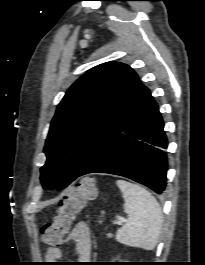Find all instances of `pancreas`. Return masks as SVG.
Segmentation results:
<instances>
[{"mask_svg":"<svg viewBox=\"0 0 205 265\" xmlns=\"http://www.w3.org/2000/svg\"><path fill=\"white\" fill-rule=\"evenodd\" d=\"M108 237H112V235L111 234H108Z\"/></svg>","mask_w":205,"mask_h":265,"instance_id":"pancreas-1","label":"pancreas"}]
</instances>
